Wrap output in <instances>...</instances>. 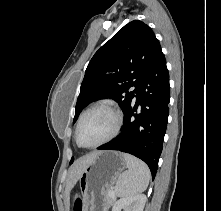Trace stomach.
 I'll return each mask as SVG.
<instances>
[{
    "label": "stomach",
    "instance_id": "obj_1",
    "mask_svg": "<svg viewBox=\"0 0 221 211\" xmlns=\"http://www.w3.org/2000/svg\"><path fill=\"white\" fill-rule=\"evenodd\" d=\"M126 167L125 159L120 152L101 151L96 154L79 178L84 202L83 211H92L98 200L105 202L107 190L112 188Z\"/></svg>",
    "mask_w": 221,
    "mask_h": 211
}]
</instances>
